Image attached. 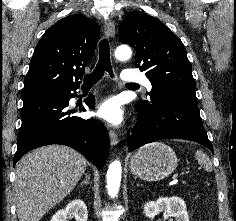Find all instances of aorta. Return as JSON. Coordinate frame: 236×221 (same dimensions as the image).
<instances>
[{"label": "aorta", "mask_w": 236, "mask_h": 221, "mask_svg": "<svg viewBox=\"0 0 236 221\" xmlns=\"http://www.w3.org/2000/svg\"><path fill=\"white\" fill-rule=\"evenodd\" d=\"M132 51L129 46L121 45L115 51L118 60H127L131 57ZM122 166L119 160H114L107 171V190L111 198L117 196L121 182Z\"/></svg>", "instance_id": "1"}]
</instances>
